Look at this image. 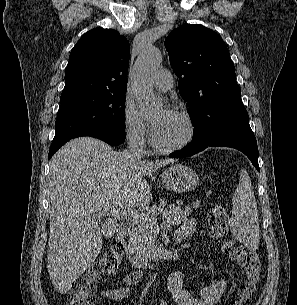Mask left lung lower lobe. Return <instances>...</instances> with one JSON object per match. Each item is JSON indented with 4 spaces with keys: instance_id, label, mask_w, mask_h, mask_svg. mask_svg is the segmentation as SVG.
I'll use <instances>...</instances> for the list:
<instances>
[{
    "instance_id": "left-lung-lower-lobe-1",
    "label": "left lung lower lobe",
    "mask_w": 297,
    "mask_h": 305,
    "mask_svg": "<svg viewBox=\"0 0 297 305\" xmlns=\"http://www.w3.org/2000/svg\"><path fill=\"white\" fill-rule=\"evenodd\" d=\"M207 147H231L243 152L260 172L258 165V147L254 133L249 125L248 113L242 109L215 122L209 133L193 140L181 151L169 155L181 158L194 155Z\"/></svg>"
}]
</instances>
